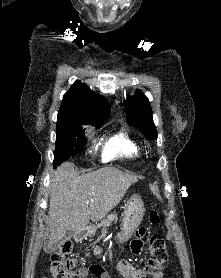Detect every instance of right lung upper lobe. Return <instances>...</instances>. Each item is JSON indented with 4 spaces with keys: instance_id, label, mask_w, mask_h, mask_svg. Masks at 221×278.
I'll return each instance as SVG.
<instances>
[{
    "instance_id": "cb5924a9",
    "label": "right lung upper lobe",
    "mask_w": 221,
    "mask_h": 278,
    "mask_svg": "<svg viewBox=\"0 0 221 278\" xmlns=\"http://www.w3.org/2000/svg\"><path fill=\"white\" fill-rule=\"evenodd\" d=\"M109 112V105L102 96L95 94L86 84L76 81L63 96L58 119L102 124Z\"/></svg>"
}]
</instances>
